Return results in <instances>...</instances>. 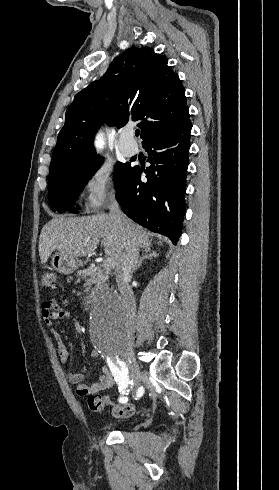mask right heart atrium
<instances>
[{"instance_id": "obj_1", "label": "right heart atrium", "mask_w": 279, "mask_h": 490, "mask_svg": "<svg viewBox=\"0 0 279 490\" xmlns=\"http://www.w3.org/2000/svg\"><path fill=\"white\" fill-rule=\"evenodd\" d=\"M82 191L87 211L99 212L109 196L118 191L114 167L106 162L95 164L83 177Z\"/></svg>"}]
</instances>
